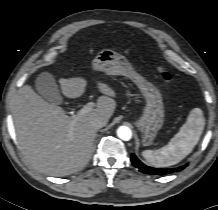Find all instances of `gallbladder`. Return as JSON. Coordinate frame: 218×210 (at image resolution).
<instances>
[{
	"mask_svg": "<svg viewBox=\"0 0 218 210\" xmlns=\"http://www.w3.org/2000/svg\"><path fill=\"white\" fill-rule=\"evenodd\" d=\"M36 91L51 104H60L62 96L58 89L55 79L48 72L40 73L35 80Z\"/></svg>",
	"mask_w": 218,
	"mask_h": 210,
	"instance_id": "obj_1",
	"label": "gallbladder"
}]
</instances>
